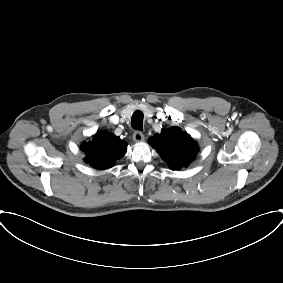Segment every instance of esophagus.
Masks as SVG:
<instances>
[{
	"instance_id": "obj_1",
	"label": "esophagus",
	"mask_w": 283,
	"mask_h": 283,
	"mask_svg": "<svg viewBox=\"0 0 283 283\" xmlns=\"http://www.w3.org/2000/svg\"><path fill=\"white\" fill-rule=\"evenodd\" d=\"M133 140L135 141V142H141V141H143L144 140V135H143V133L141 132V131H135L134 133H133Z\"/></svg>"
}]
</instances>
